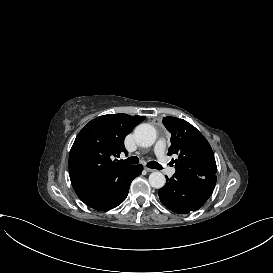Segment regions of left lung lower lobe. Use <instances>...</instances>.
<instances>
[{"mask_svg": "<svg viewBox=\"0 0 273 273\" xmlns=\"http://www.w3.org/2000/svg\"><path fill=\"white\" fill-rule=\"evenodd\" d=\"M216 175L206 178L193 177L175 172L166 177V184L159 189L162 204L175 213L186 214L201 208L211 196Z\"/></svg>", "mask_w": 273, "mask_h": 273, "instance_id": "1", "label": "left lung lower lobe"}]
</instances>
